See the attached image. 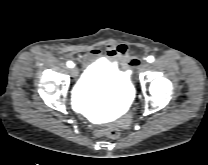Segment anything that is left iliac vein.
<instances>
[{
    "mask_svg": "<svg viewBox=\"0 0 208 165\" xmlns=\"http://www.w3.org/2000/svg\"><path fill=\"white\" fill-rule=\"evenodd\" d=\"M149 68V63L147 61H143L139 66V71H145Z\"/></svg>",
    "mask_w": 208,
    "mask_h": 165,
    "instance_id": "4c4485c4",
    "label": "left iliac vein"
}]
</instances>
